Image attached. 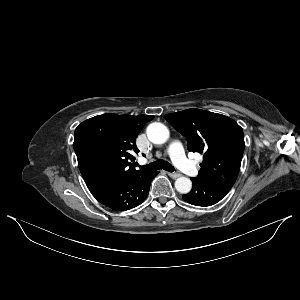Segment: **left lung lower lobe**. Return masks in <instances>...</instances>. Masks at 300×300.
<instances>
[{
  "instance_id": "0a47b994",
  "label": "left lung lower lobe",
  "mask_w": 300,
  "mask_h": 300,
  "mask_svg": "<svg viewBox=\"0 0 300 300\" xmlns=\"http://www.w3.org/2000/svg\"><path fill=\"white\" fill-rule=\"evenodd\" d=\"M191 180L193 183L192 190L182 197L192 205L202 207L214 205L229 192V189L202 182L196 177H192Z\"/></svg>"
}]
</instances>
